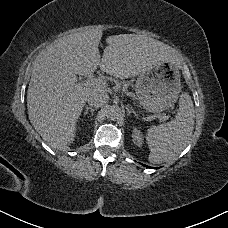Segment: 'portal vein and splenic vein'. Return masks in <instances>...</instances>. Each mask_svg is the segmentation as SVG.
<instances>
[{
    "label": "portal vein and splenic vein",
    "instance_id": "portal-vein-and-splenic-vein-1",
    "mask_svg": "<svg viewBox=\"0 0 228 228\" xmlns=\"http://www.w3.org/2000/svg\"><path fill=\"white\" fill-rule=\"evenodd\" d=\"M85 85H89V86H93V87H101V88H105L107 87V82L106 80H104L103 78H94V77H90L87 79V81L85 82ZM148 115L151 117V118H156V119H162L164 122L169 118L168 116H163L162 114L158 115L157 113H152L151 111L148 113Z\"/></svg>",
    "mask_w": 228,
    "mask_h": 228
}]
</instances>
